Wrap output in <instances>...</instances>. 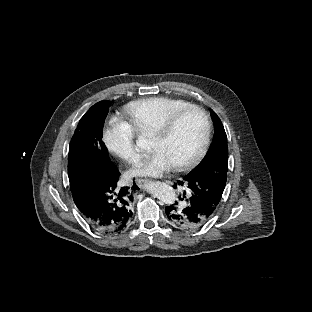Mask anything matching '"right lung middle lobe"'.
I'll return each instance as SVG.
<instances>
[{
    "label": "right lung middle lobe",
    "instance_id": "right-lung-middle-lobe-1",
    "mask_svg": "<svg viewBox=\"0 0 312 312\" xmlns=\"http://www.w3.org/2000/svg\"><path fill=\"white\" fill-rule=\"evenodd\" d=\"M110 103V101H101L95 104L78 123L68 154L70 186L97 170L110 172L116 169L102 141L103 125Z\"/></svg>",
    "mask_w": 312,
    "mask_h": 312
}]
</instances>
